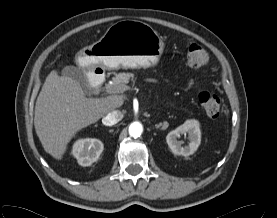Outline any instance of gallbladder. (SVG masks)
Masks as SVG:
<instances>
[{
  "label": "gallbladder",
  "mask_w": 277,
  "mask_h": 218,
  "mask_svg": "<svg viewBox=\"0 0 277 218\" xmlns=\"http://www.w3.org/2000/svg\"><path fill=\"white\" fill-rule=\"evenodd\" d=\"M62 75L70 77L81 84L86 94L91 93V87L89 85L88 78L79 68L75 66H66L62 69Z\"/></svg>",
  "instance_id": "1"
}]
</instances>
